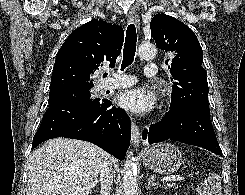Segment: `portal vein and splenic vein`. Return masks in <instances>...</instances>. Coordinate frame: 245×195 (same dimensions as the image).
<instances>
[{
  "mask_svg": "<svg viewBox=\"0 0 245 195\" xmlns=\"http://www.w3.org/2000/svg\"><path fill=\"white\" fill-rule=\"evenodd\" d=\"M184 177L181 176H174V177H169V178H163L161 181L163 182H174V181H182L184 180Z\"/></svg>",
  "mask_w": 245,
  "mask_h": 195,
  "instance_id": "1",
  "label": "portal vein and splenic vein"
}]
</instances>
